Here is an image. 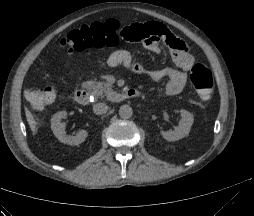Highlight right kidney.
Wrapping results in <instances>:
<instances>
[{"mask_svg": "<svg viewBox=\"0 0 254 216\" xmlns=\"http://www.w3.org/2000/svg\"><path fill=\"white\" fill-rule=\"evenodd\" d=\"M66 116V111H60L53 115L51 119V129L55 137L60 142L68 145H79L83 143L88 136L86 130H80L75 136L66 135L65 123L62 122V119L66 118Z\"/></svg>", "mask_w": 254, "mask_h": 216, "instance_id": "1", "label": "right kidney"}]
</instances>
